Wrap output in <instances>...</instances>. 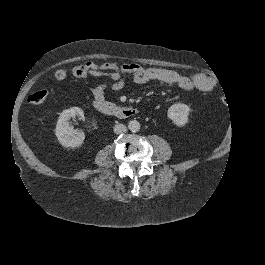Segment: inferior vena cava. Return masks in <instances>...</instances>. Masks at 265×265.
Returning a JSON list of instances; mask_svg holds the SVG:
<instances>
[{
	"mask_svg": "<svg viewBox=\"0 0 265 265\" xmlns=\"http://www.w3.org/2000/svg\"><path fill=\"white\" fill-rule=\"evenodd\" d=\"M127 131V127L123 124H116L114 126V132L116 134H122V133H125Z\"/></svg>",
	"mask_w": 265,
	"mask_h": 265,
	"instance_id": "1",
	"label": "inferior vena cava"
}]
</instances>
